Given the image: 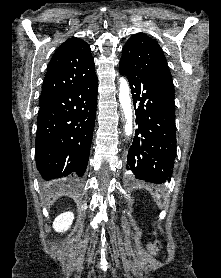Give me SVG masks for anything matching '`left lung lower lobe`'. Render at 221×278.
<instances>
[{
	"label": "left lung lower lobe",
	"mask_w": 221,
	"mask_h": 278,
	"mask_svg": "<svg viewBox=\"0 0 221 278\" xmlns=\"http://www.w3.org/2000/svg\"><path fill=\"white\" fill-rule=\"evenodd\" d=\"M120 74L128 78L138 125L127 169L146 182H170L176 157L174 87L121 69Z\"/></svg>",
	"instance_id": "0a47b994"
}]
</instances>
